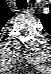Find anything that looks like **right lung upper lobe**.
Masks as SVG:
<instances>
[{
	"label": "right lung upper lobe",
	"instance_id": "1",
	"mask_svg": "<svg viewBox=\"0 0 51 74\" xmlns=\"http://www.w3.org/2000/svg\"><path fill=\"white\" fill-rule=\"evenodd\" d=\"M14 13L9 9L8 6L3 7V24L4 25L12 16Z\"/></svg>",
	"mask_w": 51,
	"mask_h": 74
}]
</instances>
